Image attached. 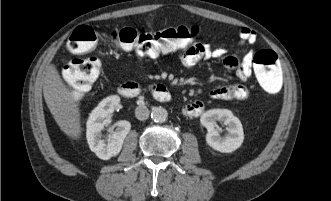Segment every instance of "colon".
Instances as JSON below:
<instances>
[{
	"label": "colon",
	"mask_w": 331,
	"mask_h": 201,
	"mask_svg": "<svg viewBox=\"0 0 331 201\" xmlns=\"http://www.w3.org/2000/svg\"><path fill=\"white\" fill-rule=\"evenodd\" d=\"M199 34L197 26H179L160 31L140 32L133 28H117L108 38L119 49L133 51L142 56H158L162 53L188 48ZM97 44V33L91 27L80 26L70 36L67 48L74 55L92 51ZM253 65L259 84L269 93H277L282 86V66L278 55L269 49L257 51ZM101 72L96 58H73L63 69V78L76 96L83 95Z\"/></svg>",
	"instance_id": "5ec220e1"
}]
</instances>
